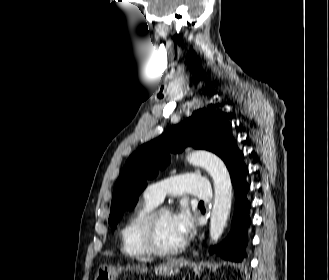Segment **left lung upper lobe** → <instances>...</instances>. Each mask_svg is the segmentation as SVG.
Segmentation results:
<instances>
[{
  "mask_svg": "<svg viewBox=\"0 0 329 280\" xmlns=\"http://www.w3.org/2000/svg\"><path fill=\"white\" fill-rule=\"evenodd\" d=\"M186 145L214 152L225 162L229 172L239 165L243 153L236 146L231 124L220 112L199 109L181 124L158 139L139 147L127 160L118 178L111 203L109 225L114 229L125 210L133 209L146 187V178L157 175L170 160V151L179 152Z\"/></svg>",
  "mask_w": 329,
  "mask_h": 280,
  "instance_id": "1",
  "label": "left lung upper lobe"
}]
</instances>
